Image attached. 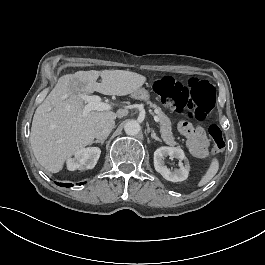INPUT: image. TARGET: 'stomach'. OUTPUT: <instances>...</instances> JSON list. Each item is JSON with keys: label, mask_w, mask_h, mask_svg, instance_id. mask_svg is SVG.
<instances>
[{"label": "stomach", "mask_w": 265, "mask_h": 265, "mask_svg": "<svg viewBox=\"0 0 265 265\" xmlns=\"http://www.w3.org/2000/svg\"><path fill=\"white\" fill-rule=\"evenodd\" d=\"M131 97L138 100H149V93L144 88H138L133 93H131Z\"/></svg>", "instance_id": "0dacf381"}]
</instances>
